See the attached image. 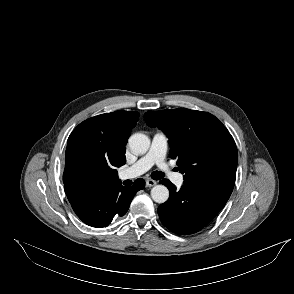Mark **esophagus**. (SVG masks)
Segmentation results:
<instances>
[{
	"label": "esophagus",
	"instance_id": "1",
	"mask_svg": "<svg viewBox=\"0 0 294 294\" xmlns=\"http://www.w3.org/2000/svg\"><path fill=\"white\" fill-rule=\"evenodd\" d=\"M156 181L155 180H152V179H147L146 180V186L147 187H152V186H154V185H156Z\"/></svg>",
	"mask_w": 294,
	"mask_h": 294
}]
</instances>
